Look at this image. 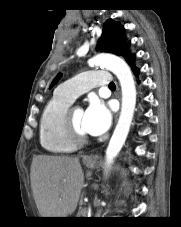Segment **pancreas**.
I'll return each mask as SVG.
<instances>
[{"mask_svg":"<svg viewBox=\"0 0 181 227\" xmlns=\"http://www.w3.org/2000/svg\"><path fill=\"white\" fill-rule=\"evenodd\" d=\"M86 213V209L85 208H80L78 211V215L77 217H84V214Z\"/></svg>","mask_w":181,"mask_h":227,"instance_id":"1","label":"pancreas"}]
</instances>
